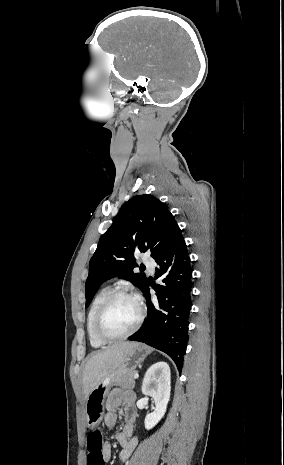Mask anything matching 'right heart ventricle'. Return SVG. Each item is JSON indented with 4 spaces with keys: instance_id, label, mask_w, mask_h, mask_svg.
<instances>
[{
    "instance_id": "e07e8e85",
    "label": "right heart ventricle",
    "mask_w": 284,
    "mask_h": 465,
    "mask_svg": "<svg viewBox=\"0 0 284 465\" xmlns=\"http://www.w3.org/2000/svg\"><path fill=\"white\" fill-rule=\"evenodd\" d=\"M110 295V290L109 288H102L100 289L94 298L91 301V304L89 306L88 312H87V317H86V332H87V337L89 344L91 346H105V343L100 342L94 335L93 332V323H94V318L95 315L103 303V301Z\"/></svg>"
}]
</instances>
